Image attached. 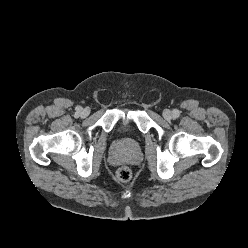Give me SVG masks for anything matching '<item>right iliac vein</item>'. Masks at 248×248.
Segmentation results:
<instances>
[{"label":"right iliac vein","mask_w":248,"mask_h":248,"mask_svg":"<svg viewBox=\"0 0 248 248\" xmlns=\"http://www.w3.org/2000/svg\"><path fill=\"white\" fill-rule=\"evenodd\" d=\"M89 113H90L89 109L85 108L81 111V116L87 117L89 115Z\"/></svg>","instance_id":"right-iliac-vein-1"}]
</instances>
